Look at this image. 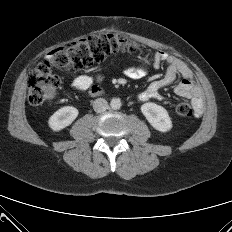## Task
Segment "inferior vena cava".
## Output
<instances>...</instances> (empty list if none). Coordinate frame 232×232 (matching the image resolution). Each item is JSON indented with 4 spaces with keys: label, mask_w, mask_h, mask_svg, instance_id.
Masks as SVG:
<instances>
[{
    "label": "inferior vena cava",
    "mask_w": 232,
    "mask_h": 232,
    "mask_svg": "<svg viewBox=\"0 0 232 232\" xmlns=\"http://www.w3.org/2000/svg\"><path fill=\"white\" fill-rule=\"evenodd\" d=\"M93 109L97 113H102L108 109V102L103 98H98L93 102Z\"/></svg>",
    "instance_id": "1"
}]
</instances>
